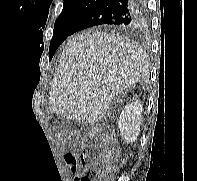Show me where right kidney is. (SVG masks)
<instances>
[{
    "label": "right kidney",
    "instance_id": "ca27d5eb",
    "mask_svg": "<svg viewBox=\"0 0 197 181\" xmlns=\"http://www.w3.org/2000/svg\"><path fill=\"white\" fill-rule=\"evenodd\" d=\"M142 111L143 107L139 101L126 105L122 110L118 120V128L125 141L134 142L137 139L142 122Z\"/></svg>",
    "mask_w": 197,
    "mask_h": 181
}]
</instances>
